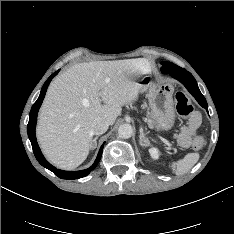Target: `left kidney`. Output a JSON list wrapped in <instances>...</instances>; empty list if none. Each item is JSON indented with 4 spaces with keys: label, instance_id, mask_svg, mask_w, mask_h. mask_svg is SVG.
<instances>
[{
    "label": "left kidney",
    "instance_id": "5707ae66",
    "mask_svg": "<svg viewBox=\"0 0 234 234\" xmlns=\"http://www.w3.org/2000/svg\"><path fill=\"white\" fill-rule=\"evenodd\" d=\"M149 153L152 159L157 160L159 158L160 152L157 148H150Z\"/></svg>",
    "mask_w": 234,
    "mask_h": 234
}]
</instances>
